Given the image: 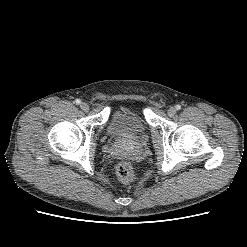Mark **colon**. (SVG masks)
Segmentation results:
<instances>
[{
  "instance_id": "5ec220e1",
  "label": "colon",
  "mask_w": 247,
  "mask_h": 247,
  "mask_svg": "<svg viewBox=\"0 0 247 247\" xmlns=\"http://www.w3.org/2000/svg\"><path fill=\"white\" fill-rule=\"evenodd\" d=\"M116 173L119 179L125 183L135 180V172L129 162H120L116 167Z\"/></svg>"
}]
</instances>
